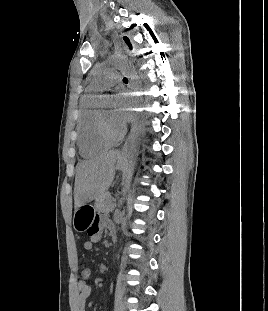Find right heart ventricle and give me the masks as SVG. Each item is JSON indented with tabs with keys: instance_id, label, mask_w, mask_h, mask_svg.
I'll use <instances>...</instances> for the list:
<instances>
[{
	"instance_id": "obj_1",
	"label": "right heart ventricle",
	"mask_w": 268,
	"mask_h": 311,
	"mask_svg": "<svg viewBox=\"0 0 268 311\" xmlns=\"http://www.w3.org/2000/svg\"><path fill=\"white\" fill-rule=\"evenodd\" d=\"M94 94H88L82 101L78 118V147L82 156L92 157L108 148L114 142L105 140L98 129V109L94 105Z\"/></svg>"
}]
</instances>
